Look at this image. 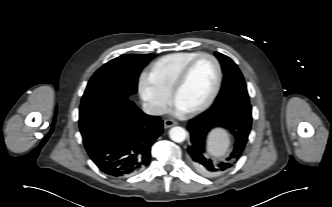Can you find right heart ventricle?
<instances>
[{
    "mask_svg": "<svg viewBox=\"0 0 332 207\" xmlns=\"http://www.w3.org/2000/svg\"><path fill=\"white\" fill-rule=\"evenodd\" d=\"M199 54L200 52H177L167 54L150 65L146 77L155 86L170 94L173 83L181 69L188 61Z\"/></svg>",
    "mask_w": 332,
    "mask_h": 207,
    "instance_id": "obj_1",
    "label": "right heart ventricle"
}]
</instances>
